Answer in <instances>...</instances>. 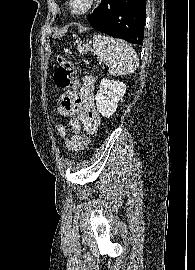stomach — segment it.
I'll list each match as a JSON object with an SVG mask.
<instances>
[{
	"label": "stomach",
	"mask_w": 195,
	"mask_h": 270,
	"mask_svg": "<svg viewBox=\"0 0 195 270\" xmlns=\"http://www.w3.org/2000/svg\"><path fill=\"white\" fill-rule=\"evenodd\" d=\"M77 50L81 54L87 53V52L91 51L90 44L89 43H84V42H81L80 41V42H78Z\"/></svg>",
	"instance_id": "obj_1"
}]
</instances>
